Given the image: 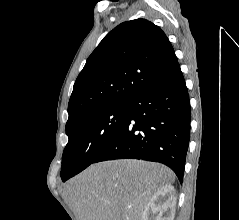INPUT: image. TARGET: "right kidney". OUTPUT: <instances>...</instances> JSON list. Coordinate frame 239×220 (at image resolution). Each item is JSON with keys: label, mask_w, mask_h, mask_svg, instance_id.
Returning a JSON list of instances; mask_svg holds the SVG:
<instances>
[{"label": "right kidney", "mask_w": 239, "mask_h": 220, "mask_svg": "<svg viewBox=\"0 0 239 220\" xmlns=\"http://www.w3.org/2000/svg\"><path fill=\"white\" fill-rule=\"evenodd\" d=\"M176 191L172 185L157 189L144 209L142 220H174Z\"/></svg>", "instance_id": "right-kidney-1"}]
</instances>
